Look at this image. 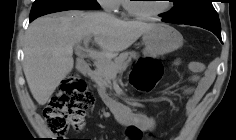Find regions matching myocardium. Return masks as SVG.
Listing matches in <instances>:
<instances>
[{
  "mask_svg": "<svg viewBox=\"0 0 236 140\" xmlns=\"http://www.w3.org/2000/svg\"><path fill=\"white\" fill-rule=\"evenodd\" d=\"M170 1L171 0L167 1L166 7L164 9L156 11V12H151V13H144V12H141L140 10H138L135 7L134 2H132V0L126 1L125 8L132 16H134L138 19L148 20V19H152V18L161 16L162 14L168 12L172 8V4Z\"/></svg>",
  "mask_w": 236,
  "mask_h": 140,
  "instance_id": "f54148a6",
  "label": "myocardium"
}]
</instances>
